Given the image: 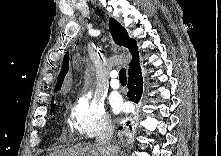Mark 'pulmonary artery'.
Returning <instances> with one entry per match:
<instances>
[{
    "label": "pulmonary artery",
    "mask_w": 221,
    "mask_h": 156,
    "mask_svg": "<svg viewBox=\"0 0 221 156\" xmlns=\"http://www.w3.org/2000/svg\"><path fill=\"white\" fill-rule=\"evenodd\" d=\"M111 80H110V86L113 89H118L120 87V82L118 80V72L117 71H112L111 72Z\"/></svg>",
    "instance_id": "e3ab8cb5"
}]
</instances>
